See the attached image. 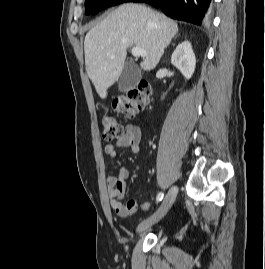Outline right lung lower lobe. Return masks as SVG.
I'll list each match as a JSON object with an SVG mask.
<instances>
[{"mask_svg":"<svg viewBox=\"0 0 265 269\" xmlns=\"http://www.w3.org/2000/svg\"><path fill=\"white\" fill-rule=\"evenodd\" d=\"M145 2L160 8L171 18L201 24L211 0H129Z\"/></svg>","mask_w":265,"mask_h":269,"instance_id":"1","label":"right lung lower lobe"}]
</instances>
